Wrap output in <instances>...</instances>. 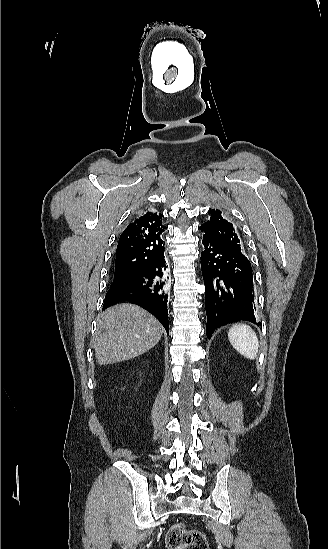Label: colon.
<instances>
[{"instance_id":"5ec220e1","label":"colon","mask_w":328,"mask_h":549,"mask_svg":"<svg viewBox=\"0 0 328 549\" xmlns=\"http://www.w3.org/2000/svg\"><path fill=\"white\" fill-rule=\"evenodd\" d=\"M169 549H209L206 536L199 530L189 529L183 523L173 524L166 534Z\"/></svg>"}]
</instances>
